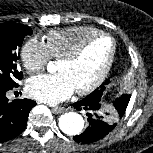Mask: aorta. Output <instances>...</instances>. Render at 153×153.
Returning a JSON list of instances; mask_svg holds the SVG:
<instances>
[{
	"mask_svg": "<svg viewBox=\"0 0 153 153\" xmlns=\"http://www.w3.org/2000/svg\"><path fill=\"white\" fill-rule=\"evenodd\" d=\"M47 70L49 72L54 71V64L52 62L48 63ZM84 124L83 117L76 112L65 113L59 118V127L67 135L80 134L84 128Z\"/></svg>",
	"mask_w": 153,
	"mask_h": 153,
	"instance_id": "762f6f07",
	"label": "aorta"
}]
</instances>
